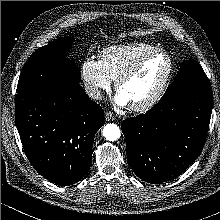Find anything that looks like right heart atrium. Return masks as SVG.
<instances>
[{"label": "right heart atrium", "instance_id": "1", "mask_svg": "<svg viewBox=\"0 0 220 220\" xmlns=\"http://www.w3.org/2000/svg\"><path fill=\"white\" fill-rule=\"evenodd\" d=\"M81 77L87 94L95 100L103 96L104 91L110 89L112 79L105 72L99 60L89 57L81 66Z\"/></svg>", "mask_w": 220, "mask_h": 220}]
</instances>
